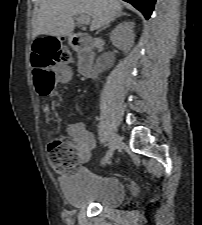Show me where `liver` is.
Instances as JSON below:
<instances>
[{"instance_id":"6515ba94","label":"liver","mask_w":202,"mask_h":225,"mask_svg":"<svg viewBox=\"0 0 202 225\" xmlns=\"http://www.w3.org/2000/svg\"><path fill=\"white\" fill-rule=\"evenodd\" d=\"M121 12L118 0H45L33 21L32 35L67 36L75 28L73 17L82 14L92 18L90 30L94 31Z\"/></svg>"}]
</instances>
